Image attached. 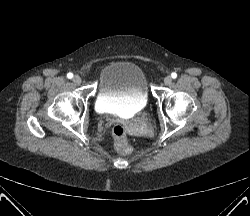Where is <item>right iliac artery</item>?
Here are the masks:
<instances>
[{"label":"right iliac artery","mask_w":250,"mask_h":216,"mask_svg":"<svg viewBox=\"0 0 250 216\" xmlns=\"http://www.w3.org/2000/svg\"><path fill=\"white\" fill-rule=\"evenodd\" d=\"M67 77H68L69 79H71V78L73 77V74H72V73H68V74H67Z\"/></svg>","instance_id":"1"}]
</instances>
